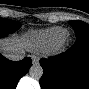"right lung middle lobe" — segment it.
Segmentation results:
<instances>
[{"label": "right lung middle lobe", "mask_w": 89, "mask_h": 89, "mask_svg": "<svg viewBox=\"0 0 89 89\" xmlns=\"http://www.w3.org/2000/svg\"><path fill=\"white\" fill-rule=\"evenodd\" d=\"M21 27L17 21L0 19V36H5L8 33H13Z\"/></svg>", "instance_id": "dd1d6c3e"}]
</instances>
